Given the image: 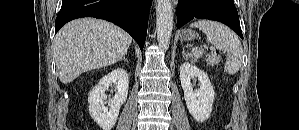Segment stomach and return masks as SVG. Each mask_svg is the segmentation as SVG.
<instances>
[{
  "label": "stomach",
  "instance_id": "0dacf381",
  "mask_svg": "<svg viewBox=\"0 0 299 130\" xmlns=\"http://www.w3.org/2000/svg\"><path fill=\"white\" fill-rule=\"evenodd\" d=\"M195 36H196L195 32H193L190 29L183 30L181 33V38L185 40H192L195 38Z\"/></svg>",
  "mask_w": 299,
  "mask_h": 130
}]
</instances>
